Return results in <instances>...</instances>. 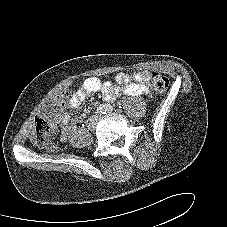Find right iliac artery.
<instances>
[{
    "label": "right iliac artery",
    "mask_w": 227,
    "mask_h": 227,
    "mask_svg": "<svg viewBox=\"0 0 227 227\" xmlns=\"http://www.w3.org/2000/svg\"><path fill=\"white\" fill-rule=\"evenodd\" d=\"M96 113L98 115H103L106 114V106L105 105H101L97 108Z\"/></svg>",
    "instance_id": "82829eb1"
}]
</instances>
